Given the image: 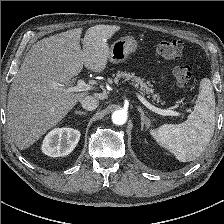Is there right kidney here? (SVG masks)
Here are the masks:
<instances>
[{
    "label": "right kidney",
    "mask_w": 224,
    "mask_h": 224,
    "mask_svg": "<svg viewBox=\"0 0 224 224\" xmlns=\"http://www.w3.org/2000/svg\"><path fill=\"white\" fill-rule=\"evenodd\" d=\"M80 135V131L73 128H55L45 136L42 152L50 157L66 156L74 150Z\"/></svg>",
    "instance_id": "1"
}]
</instances>
